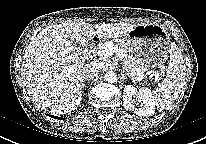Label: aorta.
Returning a JSON list of instances; mask_svg holds the SVG:
<instances>
[{"label":"aorta","mask_w":206,"mask_h":144,"mask_svg":"<svg viewBox=\"0 0 206 144\" xmlns=\"http://www.w3.org/2000/svg\"><path fill=\"white\" fill-rule=\"evenodd\" d=\"M105 80L109 83H115L118 80L117 74L113 71H108L105 74Z\"/></svg>","instance_id":"1"}]
</instances>
